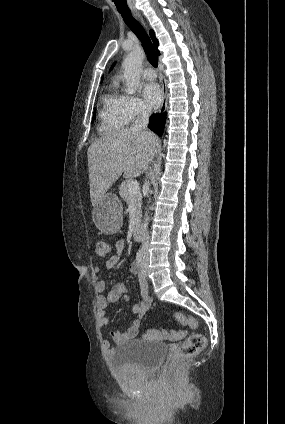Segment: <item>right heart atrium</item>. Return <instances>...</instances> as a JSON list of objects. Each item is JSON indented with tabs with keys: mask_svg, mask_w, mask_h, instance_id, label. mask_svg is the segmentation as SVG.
I'll list each match as a JSON object with an SVG mask.
<instances>
[{
	"mask_svg": "<svg viewBox=\"0 0 285 424\" xmlns=\"http://www.w3.org/2000/svg\"><path fill=\"white\" fill-rule=\"evenodd\" d=\"M125 111L128 122L141 118L149 113V108L140 98L125 96Z\"/></svg>",
	"mask_w": 285,
	"mask_h": 424,
	"instance_id": "d8ad5b80",
	"label": "right heart atrium"
}]
</instances>
